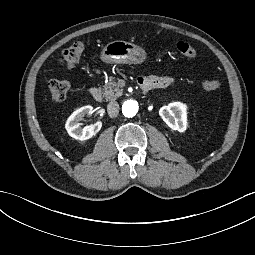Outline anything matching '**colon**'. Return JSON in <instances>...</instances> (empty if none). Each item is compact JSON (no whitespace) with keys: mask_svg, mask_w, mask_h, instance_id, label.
<instances>
[{"mask_svg":"<svg viewBox=\"0 0 255 255\" xmlns=\"http://www.w3.org/2000/svg\"><path fill=\"white\" fill-rule=\"evenodd\" d=\"M85 49V43L83 41H77L65 48L60 56L59 62L61 65L68 69H73L80 61ZM177 50L185 57L193 58L197 54L196 48L187 43L179 42L177 44ZM220 86V83L216 80H207L202 84V87L206 91L215 90ZM70 90V82L65 79H53L49 82L50 98L54 102H61L66 99Z\"/></svg>","mask_w":255,"mask_h":255,"instance_id":"colon-1","label":"colon"}]
</instances>
